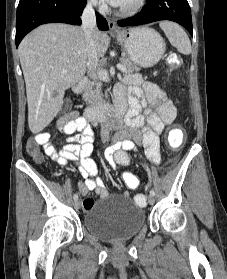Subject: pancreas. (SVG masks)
<instances>
[{"instance_id":"obj_1","label":"pancreas","mask_w":227,"mask_h":279,"mask_svg":"<svg viewBox=\"0 0 227 279\" xmlns=\"http://www.w3.org/2000/svg\"><path fill=\"white\" fill-rule=\"evenodd\" d=\"M120 64L125 67L124 73H133L134 71H139L140 68L134 65L129 59L123 57L120 59ZM102 83L100 81L96 83H90L85 87L83 93V99L86 104L90 107H97L103 103V94H102Z\"/></svg>"}]
</instances>
